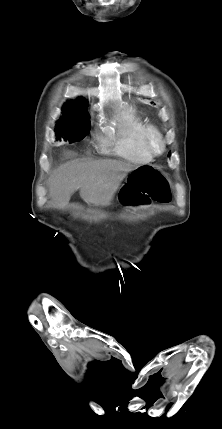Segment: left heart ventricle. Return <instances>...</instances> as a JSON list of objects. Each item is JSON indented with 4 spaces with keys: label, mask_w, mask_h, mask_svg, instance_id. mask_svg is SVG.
<instances>
[{
    "label": "left heart ventricle",
    "mask_w": 222,
    "mask_h": 429,
    "mask_svg": "<svg viewBox=\"0 0 222 429\" xmlns=\"http://www.w3.org/2000/svg\"><path fill=\"white\" fill-rule=\"evenodd\" d=\"M154 146H155L156 148H159V143H158L156 140H154Z\"/></svg>",
    "instance_id": "obj_1"
}]
</instances>
